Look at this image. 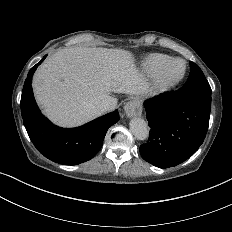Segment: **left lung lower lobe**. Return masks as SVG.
Returning <instances> with one entry per match:
<instances>
[{
  "label": "left lung lower lobe",
  "instance_id": "1",
  "mask_svg": "<svg viewBox=\"0 0 232 232\" xmlns=\"http://www.w3.org/2000/svg\"><path fill=\"white\" fill-rule=\"evenodd\" d=\"M148 142L140 146L143 159L159 168L177 166L189 159L203 143L210 109L196 100L167 92L144 101Z\"/></svg>",
  "mask_w": 232,
  "mask_h": 232
}]
</instances>
